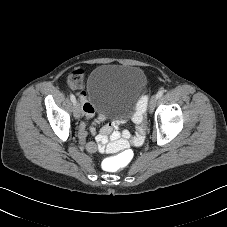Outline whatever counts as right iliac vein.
<instances>
[{"instance_id":"63e3f726","label":"right iliac vein","mask_w":227,"mask_h":227,"mask_svg":"<svg viewBox=\"0 0 227 227\" xmlns=\"http://www.w3.org/2000/svg\"><path fill=\"white\" fill-rule=\"evenodd\" d=\"M73 114H74L75 119L80 118L81 108H80V104L78 102H76L74 105Z\"/></svg>"}]
</instances>
